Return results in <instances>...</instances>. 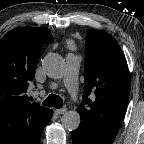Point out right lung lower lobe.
Here are the masks:
<instances>
[{
	"instance_id": "1",
	"label": "right lung lower lobe",
	"mask_w": 144,
	"mask_h": 144,
	"mask_svg": "<svg viewBox=\"0 0 144 144\" xmlns=\"http://www.w3.org/2000/svg\"><path fill=\"white\" fill-rule=\"evenodd\" d=\"M41 134H42V132L38 135V137L35 139V141L32 144H40L41 143Z\"/></svg>"
}]
</instances>
